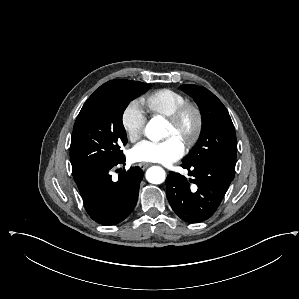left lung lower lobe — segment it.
<instances>
[{"instance_id": "obj_1", "label": "left lung lower lobe", "mask_w": 299, "mask_h": 299, "mask_svg": "<svg viewBox=\"0 0 299 299\" xmlns=\"http://www.w3.org/2000/svg\"><path fill=\"white\" fill-rule=\"evenodd\" d=\"M191 178L170 172L166 179L167 198L174 212L184 221L203 222L209 219L220 205L234 170L218 162L195 165L182 164ZM192 185L195 188H192Z\"/></svg>"}]
</instances>
